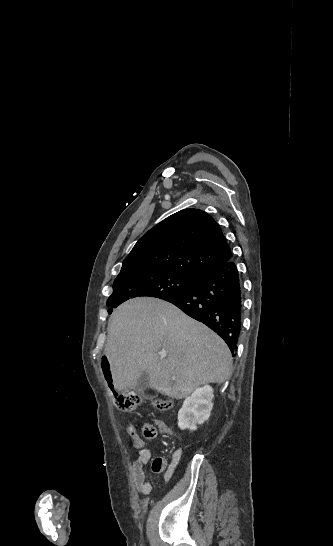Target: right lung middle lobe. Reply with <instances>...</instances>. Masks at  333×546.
Listing matches in <instances>:
<instances>
[{
  "label": "right lung middle lobe",
  "mask_w": 333,
  "mask_h": 546,
  "mask_svg": "<svg viewBox=\"0 0 333 546\" xmlns=\"http://www.w3.org/2000/svg\"><path fill=\"white\" fill-rule=\"evenodd\" d=\"M198 281L197 277L173 272L120 271L114 281L113 293L107 300V306L116 308L128 299L138 296L165 299L189 291ZM111 312L110 309L109 313Z\"/></svg>",
  "instance_id": "dd1d6c3e"
}]
</instances>
